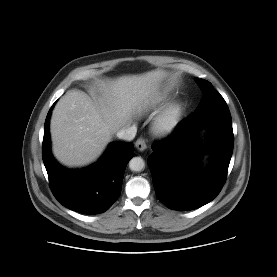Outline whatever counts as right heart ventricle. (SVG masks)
<instances>
[{
	"label": "right heart ventricle",
	"instance_id": "right-heart-ventricle-1",
	"mask_svg": "<svg viewBox=\"0 0 277 277\" xmlns=\"http://www.w3.org/2000/svg\"><path fill=\"white\" fill-rule=\"evenodd\" d=\"M164 100V97H158L155 100H153L152 104L156 105L161 103Z\"/></svg>",
	"mask_w": 277,
	"mask_h": 277
}]
</instances>
